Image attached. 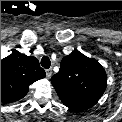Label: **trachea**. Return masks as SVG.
<instances>
[{
	"label": "trachea",
	"instance_id": "1",
	"mask_svg": "<svg viewBox=\"0 0 122 122\" xmlns=\"http://www.w3.org/2000/svg\"><path fill=\"white\" fill-rule=\"evenodd\" d=\"M51 62L50 59L48 57H43L41 59V66L44 67L45 69L50 68Z\"/></svg>",
	"mask_w": 122,
	"mask_h": 122
}]
</instances>
